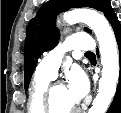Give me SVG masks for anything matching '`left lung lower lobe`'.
<instances>
[{
	"mask_svg": "<svg viewBox=\"0 0 121 113\" xmlns=\"http://www.w3.org/2000/svg\"><path fill=\"white\" fill-rule=\"evenodd\" d=\"M110 24L112 25L119 48L120 74L116 94L107 113H121V25L117 17H115Z\"/></svg>",
	"mask_w": 121,
	"mask_h": 113,
	"instance_id": "1",
	"label": "left lung lower lobe"
}]
</instances>
